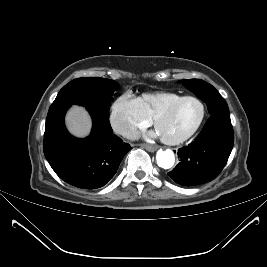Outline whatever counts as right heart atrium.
I'll return each mask as SVG.
<instances>
[{
    "label": "right heart atrium",
    "instance_id": "1",
    "mask_svg": "<svg viewBox=\"0 0 267 267\" xmlns=\"http://www.w3.org/2000/svg\"><path fill=\"white\" fill-rule=\"evenodd\" d=\"M110 124L119 135L131 138L138 130L150 125L151 119L143 112L138 98L128 92L119 95L111 104Z\"/></svg>",
    "mask_w": 267,
    "mask_h": 267
}]
</instances>
